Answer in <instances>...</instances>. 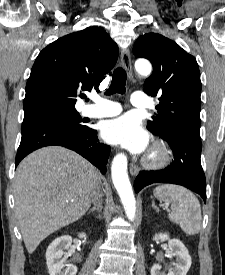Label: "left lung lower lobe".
<instances>
[{
	"label": "left lung lower lobe",
	"mask_w": 225,
	"mask_h": 275,
	"mask_svg": "<svg viewBox=\"0 0 225 275\" xmlns=\"http://www.w3.org/2000/svg\"><path fill=\"white\" fill-rule=\"evenodd\" d=\"M170 145L174 160L159 171H142L134 182L135 192L152 183H173L198 193L206 202V181L201 166V138L176 135L164 139Z\"/></svg>",
	"instance_id": "1"
}]
</instances>
